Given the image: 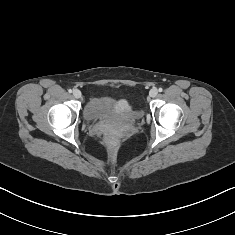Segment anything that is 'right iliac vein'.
Here are the masks:
<instances>
[{
    "label": "right iliac vein",
    "instance_id": "right-iliac-vein-1",
    "mask_svg": "<svg viewBox=\"0 0 235 235\" xmlns=\"http://www.w3.org/2000/svg\"><path fill=\"white\" fill-rule=\"evenodd\" d=\"M73 95H74L75 98H80L81 95H82V93H81L80 90L75 89V90L73 91Z\"/></svg>",
    "mask_w": 235,
    "mask_h": 235
}]
</instances>
